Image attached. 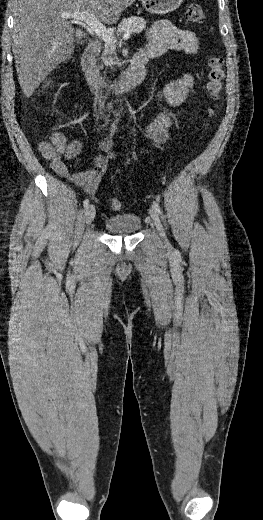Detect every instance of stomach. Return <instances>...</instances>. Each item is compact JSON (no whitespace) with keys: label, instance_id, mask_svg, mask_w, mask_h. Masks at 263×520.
<instances>
[{"label":"stomach","instance_id":"0dacf381","mask_svg":"<svg viewBox=\"0 0 263 520\" xmlns=\"http://www.w3.org/2000/svg\"><path fill=\"white\" fill-rule=\"evenodd\" d=\"M143 7L152 14H168L180 7L183 0H141Z\"/></svg>","mask_w":263,"mask_h":520}]
</instances>
